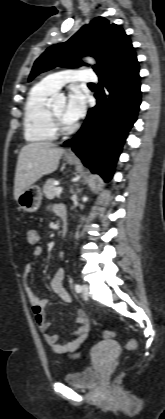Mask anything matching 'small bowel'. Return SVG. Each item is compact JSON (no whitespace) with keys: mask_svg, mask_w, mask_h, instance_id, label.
I'll list each match as a JSON object with an SVG mask.
<instances>
[{"mask_svg":"<svg viewBox=\"0 0 165 419\" xmlns=\"http://www.w3.org/2000/svg\"><path fill=\"white\" fill-rule=\"evenodd\" d=\"M34 234V238L32 237ZM27 239L30 243H37L39 241V234L37 230L30 228L27 230ZM43 249L40 246L34 247L32 250V256L38 258L42 255ZM63 257V253L60 254V258ZM33 265L31 263L27 264L24 269V277H28L31 273ZM65 278V270L59 268L51 282L50 287L53 293L56 295L58 300L62 303H70L71 296L68 291L63 286V280ZM28 300L32 306L34 318L38 329L44 333V338L48 346L53 352L58 355H67L69 358L75 359L82 355L83 351L80 349L83 342L88 336L90 329L89 319L87 313L83 309H79L75 314V322L77 324V329L70 333L72 339L70 341L61 343L60 337L57 334L48 333L50 327L49 322L45 318L44 309L48 304L46 298H41L36 295L29 286H26Z\"/></svg>","mask_w":165,"mask_h":419,"instance_id":"1","label":"small bowel"}]
</instances>
